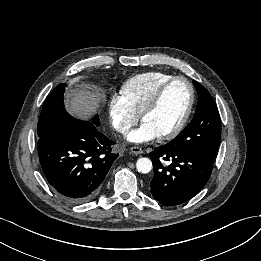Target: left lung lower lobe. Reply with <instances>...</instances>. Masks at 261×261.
Wrapping results in <instances>:
<instances>
[{
  "label": "left lung lower lobe",
  "instance_id": "left-lung-lower-lobe-1",
  "mask_svg": "<svg viewBox=\"0 0 261 261\" xmlns=\"http://www.w3.org/2000/svg\"><path fill=\"white\" fill-rule=\"evenodd\" d=\"M154 176L150 182L153 197L164 206L185 203L207 183L214 160L179 144L168 143L150 154ZM163 160L171 164L165 166Z\"/></svg>",
  "mask_w": 261,
  "mask_h": 261
}]
</instances>
